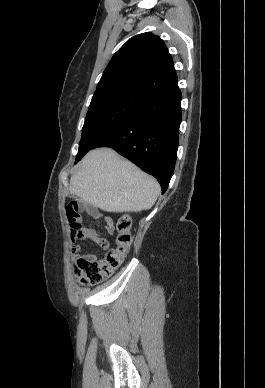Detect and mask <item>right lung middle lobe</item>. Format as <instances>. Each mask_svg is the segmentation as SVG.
Masks as SVG:
<instances>
[{
  "mask_svg": "<svg viewBox=\"0 0 265 388\" xmlns=\"http://www.w3.org/2000/svg\"><path fill=\"white\" fill-rule=\"evenodd\" d=\"M145 100L128 92H96L85 118L76 162L101 138L130 117Z\"/></svg>",
  "mask_w": 265,
  "mask_h": 388,
  "instance_id": "obj_1",
  "label": "right lung middle lobe"
}]
</instances>
